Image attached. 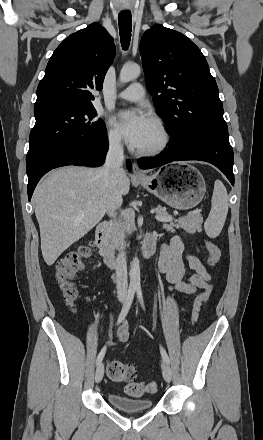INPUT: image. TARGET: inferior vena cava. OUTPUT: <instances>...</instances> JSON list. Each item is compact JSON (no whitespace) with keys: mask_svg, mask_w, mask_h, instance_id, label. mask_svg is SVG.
Listing matches in <instances>:
<instances>
[{"mask_svg":"<svg viewBox=\"0 0 263 440\" xmlns=\"http://www.w3.org/2000/svg\"><path fill=\"white\" fill-rule=\"evenodd\" d=\"M124 161L123 147L118 136L109 139V149L106 155L103 171L107 183V214L110 217H116V210L122 205V195L119 190L118 182L124 170L122 164ZM116 244L120 247L116 258V288L119 300H124L127 295V263L126 254L123 250L124 236L119 234L116 238Z\"/></svg>","mask_w":263,"mask_h":440,"instance_id":"inferior-vena-cava-1","label":"inferior vena cava"}]
</instances>
